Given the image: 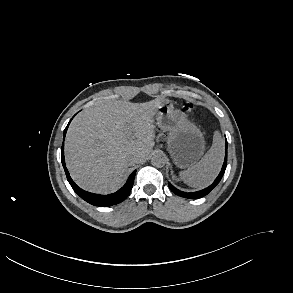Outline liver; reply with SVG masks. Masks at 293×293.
Wrapping results in <instances>:
<instances>
[{"mask_svg":"<svg viewBox=\"0 0 293 293\" xmlns=\"http://www.w3.org/2000/svg\"><path fill=\"white\" fill-rule=\"evenodd\" d=\"M162 101H113L81 111L70 124L65 142V160L74 181L95 193L120 188L131 166L128 158L138 154L143 160L155 145L153 118Z\"/></svg>","mask_w":293,"mask_h":293,"instance_id":"6515ba94","label":"liver"}]
</instances>
